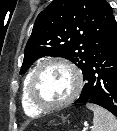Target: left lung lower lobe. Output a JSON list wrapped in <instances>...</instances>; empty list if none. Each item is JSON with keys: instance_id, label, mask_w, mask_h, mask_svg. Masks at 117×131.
<instances>
[{"instance_id": "0a47b994", "label": "left lung lower lobe", "mask_w": 117, "mask_h": 131, "mask_svg": "<svg viewBox=\"0 0 117 131\" xmlns=\"http://www.w3.org/2000/svg\"><path fill=\"white\" fill-rule=\"evenodd\" d=\"M85 85L76 103H94L117 117V22L112 15L105 41L83 73Z\"/></svg>"}]
</instances>
